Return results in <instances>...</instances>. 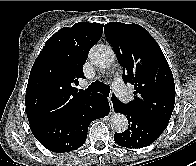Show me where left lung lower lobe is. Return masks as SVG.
Segmentation results:
<instances>
[{
  "label": "left lung lower lobe",
  "instance_id": "0a47b994",
  "mask_svg": "<svg viewBox=\"0 0 196 166\" xmlns=\"http://www.w3.org/2000/svg\"><path fill=\"white\" fill-rule=\"evenodd\" d=\"M115 112L123 113L129 122V127L122 133H115V142L126 148H140L154 142L165 130L167 125L154 120L145 119L129 110L112 96Z\"/></svg>",
  "mask_w": 196,
  "mask_h": 166
}]
</instances>
